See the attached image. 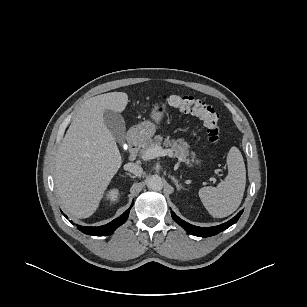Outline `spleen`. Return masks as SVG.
I'll use <instances>...</instances> for the list:
<instances>
[{
  "label": "spleen",
  "instance_id": "obj_1",
  "mask_svg": "<svg viewBox=\"0 0 307 307\" xmlns=\"http://www.w3.org/2000/svg\"><path fill=\"white\" fill-rule=\"evenodd\" d=\"M228 175L217 187H203L199 197L216 218L232 214L241 204L246 185V169L243 156L237 147H231L227 155Z\"/></svg>",
  "mask_w": 307,
  "mask_h": 307
}]
</instances>
